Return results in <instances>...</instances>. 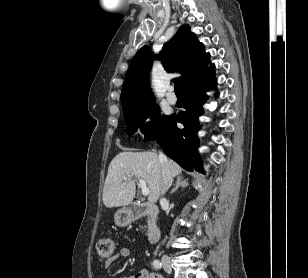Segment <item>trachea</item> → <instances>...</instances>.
<instances>
[{
  "label": "trachea",
  "mask_w": 308,
  "mask_h": 278,
  "mask_svg": "<svg viewBox=\"0 0 308 278\" xmlns=\"http://www.w3.org/2000/svg\"><path fill=\"white\" fill-rule=\"evenodd\" d=\"M175 93L177 95H182L183 90H182V83L180 81H177L174 85Z\"/></svg>",
  "instance_id": "trachea-1"
}]
</instances>
